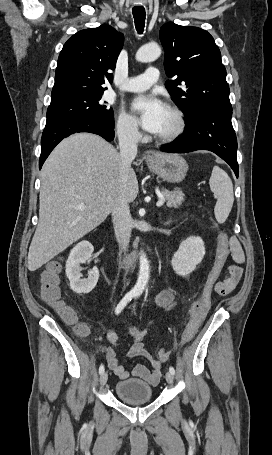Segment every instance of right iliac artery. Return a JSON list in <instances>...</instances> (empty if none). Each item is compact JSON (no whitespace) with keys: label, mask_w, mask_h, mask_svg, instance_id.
Here are the masks:
<instances>
[{"label":"right iliac artery","mask_w":272,"mask_h":455,"mask_svg":"<svg viewBox=\"0 0 272 455\" xmlns=\"http://www.w3.org/2000/svg\"><path fill=\"white\" fill-rule=\"evenodd\" d=\"M135 296L134 292H128L124 298L119 302L115 309V313L119 314L121 311L124 309V307L132 300V298ZM104 372V365L101 364L99 367V373L102 374Z\"/></svg>","instance_id":"obj_1"}]
</instances>
